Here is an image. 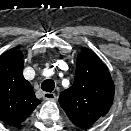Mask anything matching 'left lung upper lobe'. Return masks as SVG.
I'll list each match as a JSON object with an SVG mask.
<instances>
[{
    "mask_svg": "<svg viewBox=\"0 0 131 131\" xmlns=\"http://www.w3.org/2000/svg\"><path fill=\"white\" fill-rule=\"evenodd\" d=\"M114 98V83L105 64L90 49L77 55L73 85L63 91L59 103L73 124L90 127L108 113Z\"/></svg>",
    "mask_w": 131,
    "mask_h": 131,
    "instance_id": "left-lung-upper-lobe-1",
    "label": "left lung upper lobe"
}]
</instances>
